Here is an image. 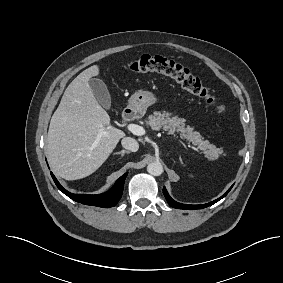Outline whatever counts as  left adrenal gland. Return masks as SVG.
<instances>
[{
  "mask_svg": "<svg viewBox=\"0 0 283 283\" xmlns=\"http://www.w3.org/2000/svg\"><path fill=\"white\" fill-rule=\"evenodd\" d=\"M179 160H180V163H181L183 166H185L180 155H179Z\"/></svg>",
  "mask_w": 283,
  "mask_h": 283,
  "instance_id": "obj_1",
  "label": "left adrenal gland"
}]
</instances>
